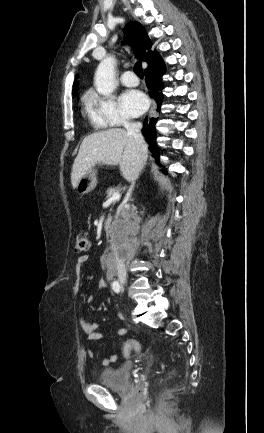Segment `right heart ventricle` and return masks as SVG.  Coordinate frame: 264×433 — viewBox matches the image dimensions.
Listing matches in <instances>:
<instances>
[{
    "mask_svg": "<svg viewBox=\"0 0 264 433\" xmlns=\"http://www.w3.org/2000/svg\"><path fill=\"white\" fill-rule=\"evenodd\" d=\"M84 103H85V105H86V110H87V113H88V115H89V118H90V120H91L92 125H93L95 128H97V129H98V128H102L104 125L101 124L100 122H98V121L93 117L92 113H91L90 110H89V106H88V97L84 99Z\"/></svg>",
    "mask_w": 264,
    "mask_h": 433,
    "instance_id": "obj_1",
    "label": "right heart ventricle"
}]
</instances>
